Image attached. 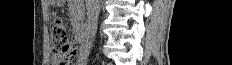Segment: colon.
<instances>
[{"mask_svg": "<svg viewBox=\"0 0 232 65\" xmlns=\"http://www.w3.org/2000/svg\"><path fill=\"white\" fill-rule=\"evenodd\" d=\"M51 44L54 62L58 65H69L77 55L76 45L69 40L67 27L57 20L51 31Z\"/></svg>", "mask_w": 232, "mask_h": 65, "instance_id": "5ec220e1", "label": "colon"}]
</instances>
